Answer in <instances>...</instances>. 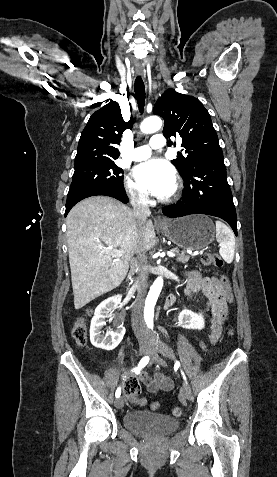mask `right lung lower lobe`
<instances>
[{
    "instance_id": "98d812e1",
    "label": "right lung lower lobe",
    "mask_w": 277,
    "mask_h": 477,
    "mask_svg": "<svg viewBox=\"0 0 277 477\" xmlns=\"http://www.w3.org/2000/svg\"><path fill=\"white\" fill-rule=\"evenodd\" d=\"M96 195H104V196H110V197H113V198H116L118 199L119 201L123 202V203H128V197L125 193V190L124 191H113V190H95V191H92V192H89L85 195H83L82 197H80L79 199H77L75 202H73L71 205L69 206H66V211H65V216L68 214V212L70 211V209L79 201H81L82 199H85L87 197H90V196H96Z\"/></svg>"
}]
</instances>
